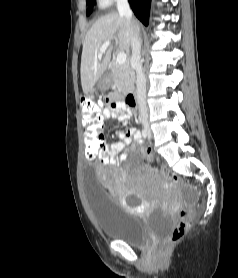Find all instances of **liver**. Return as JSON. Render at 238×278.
<instances>
[{
  "label": "liver",
  "mask_w": 238,
  "mask_h": 278,
  "mask_svg": "<svg viewBox=\"0 0 238 278\" xmlns=\"http://www.w3.org/2000/svg\"><path fill=\"white\" fill-rule=\"evenodd\" d=\"M134 31L139 32V23L131 21ZM131 26L124 16L111 12L97 19L83 42L81 56V84L85 94L93 91V87L107 70L110 63L113 45L107 48L104 56H99V49L106 41L115 40L121 51H129L131 45Z\"/></svg>",
  "instance_id": "1"
}]
</instances>
